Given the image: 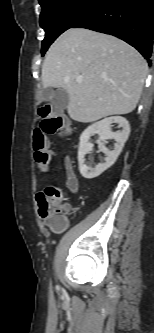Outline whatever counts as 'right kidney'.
Instances as JSON below:
<instances>
[{"label":"right kidney","instance_id":"1","mask_svg":"<svg viewBox=\"0 0 154 333\" xmlns=\"http://www.w3.org/2000/svg\"><path fill=\"white\" fill-rule=\"evenodd\" d=\"M112 124H118L121 131L112 132ZM94 134H98L101 141L107 139H114V149L109 150L104 145L101 147V151L105 154V159L103 163H98L95 167H90L85 164V155L90 153L93 149V144L90 143V137ZM130 134L129 122L121 117L114 116L108 117L101 121H98L90 125L80 136V143L78 149V163L80 174L86 179H93L102 174L105 170L110 168L117 160L120 155L125 142Z\"/></svg>","mask_w":154,"mask_h":333}]
</instances>
